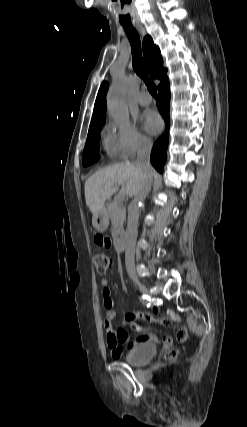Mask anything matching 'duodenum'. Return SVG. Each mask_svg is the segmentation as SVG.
Returning <instances> with one entry per match:
<instances>
[{"label":"duodenum","mask_w":247,"mask_h":427,"mask_svg":"<svg viewBox=\"0 0 247 427\" xmlns=\"http://www.w3.org/2000/svg\"><path fill=\"white\" fill-rule=\"evenodd\" d=\"M117 246L121 249L124 250L126 248V238L124 233H120L117 236Z\"/></svg>","instance_id":"obj_1"}]
</instances>
